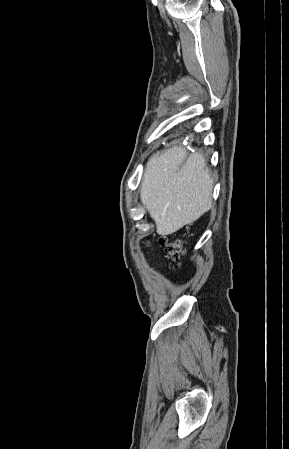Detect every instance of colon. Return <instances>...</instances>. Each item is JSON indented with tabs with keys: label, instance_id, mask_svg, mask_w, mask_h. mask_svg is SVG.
I'll return each mask as SVG.
<instances>
[{
	"label": "colon",
	"instance_id": "colon-1",
	"mask_svg": "<svg viewBox=\"0 0 289 449\" xmlns=\"http://www.w3.org/2000/svg\"><path fill=\"white\" fill-rule=\"evenodd\" d=\"M165 251L174 259H179L184 254V249L180 240L173 237H164L161 240Z\"/></svg>",
	"mask_w": 289,
	"mask_h": 449
}]
</instances>
